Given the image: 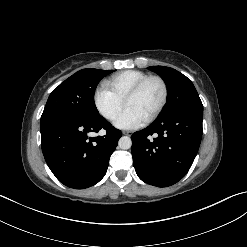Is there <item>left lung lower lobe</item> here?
Wrapping results in <instances>:
<instances>
[{"instance_id": "left-lung-lower-lobe-1", "label": "left lung lower lobe", "mask_w": 247, "mask_h": 247, "mask_svg": "<svg viewBox=\"0 0 247 247\" xmlns=\"http://www.w3.org/2000/svg\"><path fill=\"white\" fill-rule=\"evenodd\" d=\"M202 121L203 111H177L135 132L131 137L132 156L138 177L158 187L182 179L198 152Z\"/></svg>"}]
</instances>
